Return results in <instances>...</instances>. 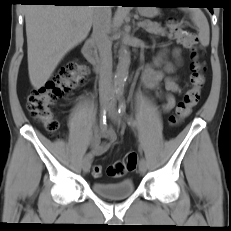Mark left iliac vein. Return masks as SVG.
<instances>
[{
	"label": "left iliac vein",
	"mask_w": 231,
	"mask_h": 231,
	"mask_svg": "<svg viewBox=\"0 0 231 231\" xmlns=\"http://www.w3.org/2000/svg\"><path fill=\"white\" fill-rule=\"evenodd\" d=\"M107 110L110 118L117 124L120 123V116L116 110V100L112 97L111 101L107 105ZM139 171L142 174H145L147 171V162L144 158H141L139 162Z\"/></svg>",
	"instance_id": "left-iliac-vein-1"
}]
</instances>
